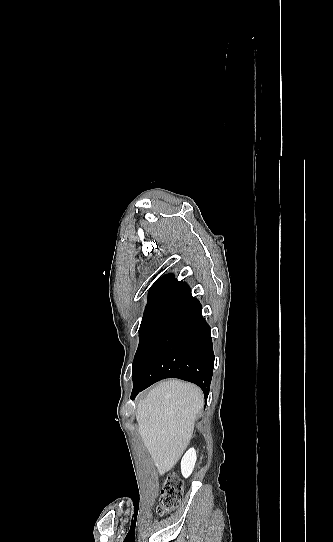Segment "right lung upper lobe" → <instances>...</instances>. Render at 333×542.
Listing matches in <instances>:
<instances>
[{
	"label": "right lung upper lobe",
	"instance_id": "obj_1",
	"mask_svg": "<svg viewBox=\"0 0 333 542\" xmlns=\"http://www.w3.org/2000/svg\"><path fill=\"white\" fill-rule=\"evenodd\" d=\"M180 283L173 274L164 275L150 288L147 304H158Z\"/></svg>",
	"mask_w": 333,
	"mask_h": 542
}]
</instances>
